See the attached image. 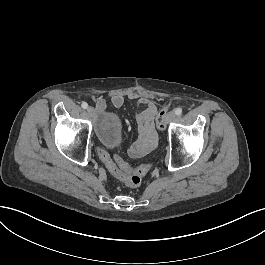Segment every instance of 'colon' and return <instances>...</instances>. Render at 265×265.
Returning <instances> with one entry per match:
<instances>
[{"instance_id": "colon-1", "label": "colon", "mask_w": 265, "mask_h": 265, "mask_svg": "<svg viewBox=\"0 0 265 265\" xmlns=\"http://www.w3.org/2000/svg\"><path fill=\"white\" fill-rule=\"evenodd\" d=\"M170 106H172V102H169L167 106H163L162 111L166 112ZM162 111L158 112L157 127L161 132H164ZM98 156L108 171L130 188L138 187L151 168L150 164H142L137 168H132L121 158L112 159L107 150L102 147L98 148Z\"/></svg>"}]
</instances>
